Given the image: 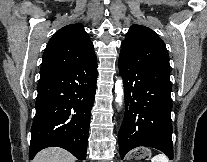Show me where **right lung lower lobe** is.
Instances as JSON below:
<instances>
[{
  "label": "right lung lower lobe",
  "instance_id": "obj_1",
  "mask_svg": "<svg viewBox=\"0 0 207 162\" xmlns=\"http://www.w3.org/2000/svg\"><path fill=\"white\" fill-rule=\"evenodd\" d=\"M96 81V58L40 77L29 160L51 146L68 150L78 160L86 159Z\"/></svg>",
  "mask_w": 207,
  "mask_h": 162
}]
</instances>
